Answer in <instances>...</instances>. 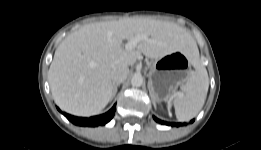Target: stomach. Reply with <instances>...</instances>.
<instances>
[{"label":"stomach","instance_id":"0dacf381","mask_svg":"<svg viewBox=\"0 0 261 150\" xmlns=\"http://www.w3.org/2000/svg\"><path fill=\"white\" fill-rule=\"evenodd\" d=\"M191 59L181 51L156 59L150 68L148 87L153 99H168L189 77Z\"/></svg>","mask_w":261,"mask_h":150}]
</instances>
